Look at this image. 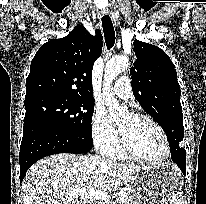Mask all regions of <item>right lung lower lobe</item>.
I'll return each mask as SVG.
<instances>
[{
	"instance_id": "98d812e1",
	"label": "right lung lower lobe",
	"mask_w": 206,
	"mask_h": 204,
	"mask_svg": "<svg viewBox=\"0 0 206 204\" xmlns=\"http://www.w3.org/2000/svg\"><path fill=\"white\" fill-rule=\"evenodd\" d=\"M92 142L53 126L33 123L23 129L20 146V183L29 167L37 160L52 154H80L90 151Z\"/></svg>"
}]
</instances>
